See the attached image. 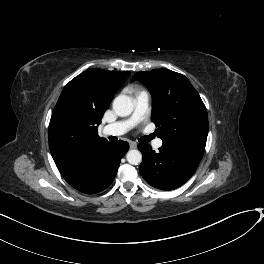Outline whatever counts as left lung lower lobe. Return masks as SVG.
I'll return each instance as SVG.
<instances>
[{
	"label": "left lung lower lobe",
	"instance_id": "0a47b994",
	"mask_svg": "<svg viewBox=\"0 0 264 264\" xmlns=\"http://www.w3.org/2000/svg\"><path fill=\"white\" fill-rule=\"evenodd\" d=\"M143 155L139 171L144 180L161 190L183 185L196 171L204 151L188 145L163 144L155 153L149 144H139Z\"/></svg>",
	"mask_w": 264,
	"mask_h": 264
}]
</instances>
